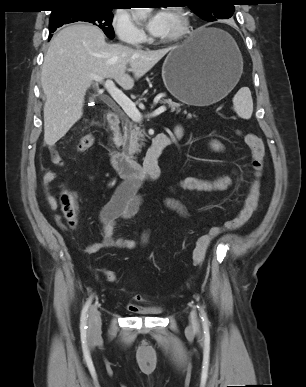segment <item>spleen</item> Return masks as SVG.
<instances>
[{"label":"spleen","mask_w":306,"mask_h":387,"mask_svg":"<svg viewBox=\"0 0 306 387\" xmlns=\"http://www.w3.org/2000/svg\"><path fill=\"white\" fill-rule=\"evenodd\" d=\"M234 110L240 118L250 119L253 113V100L250 89L242 87L233 97Z\"/></svg>","instance_id":"3e777b00"}]
</instances>
